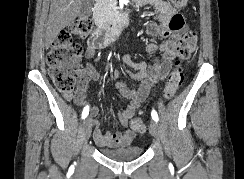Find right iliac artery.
I'll return each mask as SVG.
<instances>
[{"mask_svg": "<svg viewBox=\"0 0 244 179\" xmlns=\"http://www.w3.org/2000/svg\"><path fill=\"white\" fill-rule=\"evenodd\" d=\"M89 114V106L84 107L82 112V119H85Z\"/></svg>", "mask_w": 244, "mask_h": 179, "instance_id": "right-iliac-artery-1", "label": "right iliac artery"}]
</instances>
